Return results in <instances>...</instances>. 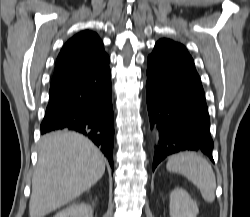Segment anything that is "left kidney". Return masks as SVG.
<instances>
[{
    "label": "left kidney",
    "instance_id": "5707ae66",
    "mask_svg": "<svg viewBox=\"0 0 250 217\" xmlns=\"http://www.w3.org/2000/svg\"><path fill=\"white\" fill-rule=\"evenodd\" d=\"M169 212L171 217H196L197 203L182 188H175L170 194Z\"/></svg>",
    "mask_w": 250,
    "mask_h": 217
}]
</instances>
